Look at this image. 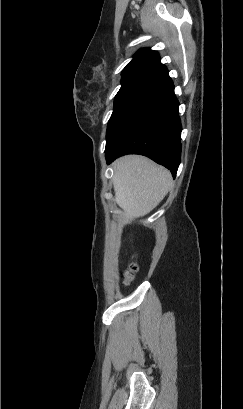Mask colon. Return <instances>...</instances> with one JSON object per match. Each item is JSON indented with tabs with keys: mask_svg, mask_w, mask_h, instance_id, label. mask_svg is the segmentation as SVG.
<instances>
[{
	"mask_svg": "<svg viewBox=\"0 0 243 409\" xmlns=\"http://www.w3.org/2000/svg\"><path fill=\"white\" fill-rule=\"evenodd\" d=\"M137 270H138V266L134 263L130 264L126 268L125 273H124V284L125 285H128L133 280Z\"/></svg>",
	"mask_w": 243,
	"mask_h": 409,
	"instance_id": "5ec220e1",
	"label": "colon"
}]
</instances>
